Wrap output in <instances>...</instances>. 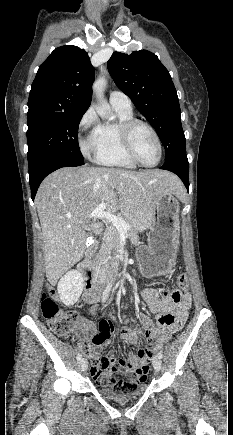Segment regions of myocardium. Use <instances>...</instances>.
I'll list each match as a JSON object with an SVG mask.
<instances>
[{"instance_id": "1", "label": "myocardium", "mask_w": 233, "mask_h": 435, "mask_svg": "<svg viewBox=\"0 0 233 435\" xmlns=\"http://www.w3.org/2000/svg\"><path fill=\"white\" fill-rule=\"evenodd\" d=\"M139 125L146 127L150 131V133L152 134V136L156 142L158 152H159V157H158L157 162L154 164L149 165V164L143 163L140 160V158L138 157L136 150L134 148L133 141H132V134H133V131L135 130V128ZM119 131H120V137H121V141H122L124 150H125L127 156L136 165H138L140 167H144V168H154V167L158 166V164L162 160L163 148H162L161 140L159 138L157 131L150 123H148L144 120H141V119L132 118L130 120H127V121H124L123 123H121Z\"/></svg>"}]
</instances>
